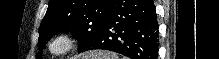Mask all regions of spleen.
Listing matches in <instances>:
<instances>
[{
	"mask_svg": "<svg viewBox=\"0 0 219 59\" xmlns=\"http://www.w3.org/2000/svg\"><path fill=\"white\" fill-rule=\"evenodd\" d=\"M101 55H103V54H101ZM107 57H108V56H106V55L103 56L104 59H107ZM100 58H101V57H100Z\"/></svg>",
	"mask_w": 219,
	"mask_h": 59,
	"instance_id": "obj_1",
	"label": "spleen"
}]
</instances>
